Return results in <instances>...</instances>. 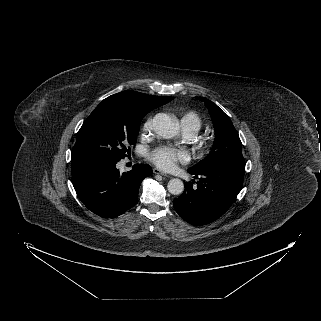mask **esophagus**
Listing matches in <instances>:
<instances>
[{
	"label": "esophagus",
	"instance_id": "esophagus-1",
	"mask_svg": "<svg viewBox=\"0 0 321 321\" xmlns=\"http://www.w3.org/2000/svg\"><path fill=\"white\" fill-rule=\"evenodd\" d=\"M153 173H154V174H159V175H162V176H168L166 173H164L163 171H161V170L158 169V168H154V169H153Z\"/></svg>",
	"mask_w": 321,
	"mask_h": 321
}]
</instances>
